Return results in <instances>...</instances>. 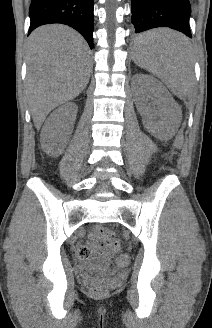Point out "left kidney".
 Masks as SVG:
<instances>
[{
  "label": "left kidney",
  "instance_id": "left-kidney-1",
  "mask_svg": "<svg viewBox=\"0 0 212 328\" xmlns=\"http://www.w3.org/2000/svg\"><path fill=\"white\" fill-rule=\"evenodd\" d=\"M149 93L156 98L160 109V120H152L153 111L146 106L144 96ZM135 101L143 124L154 136L162 140L170 139L176 133L181 121V109L170 93L153 77L137 75L135 80Z\"/></svg>",
  "mask_w": 212,
  "mask_h": 328
}]
</instances>
